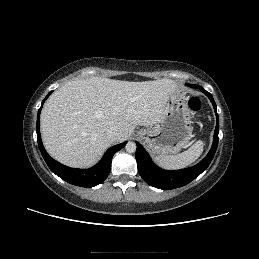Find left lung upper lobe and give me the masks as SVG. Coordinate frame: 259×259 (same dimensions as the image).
I'll return each instance as SVG.
<instances>
[{
	"label": "left lung upper lobe",
	"mask_w": 259,
	"mask_h": 259,
	"mask_svg": "<svg viewBox=\"0 0 259 259\" xmlns=\"http://www.w3.org/2000/svg\"><path fill=\"white\" fill-rule=\"evenodd\" d=\"M190 87H194V86H197V85H189ZM195 88V87H194Z\"/></svg>",
	"instance_id": "5c2ea615"
}]
</instances>
